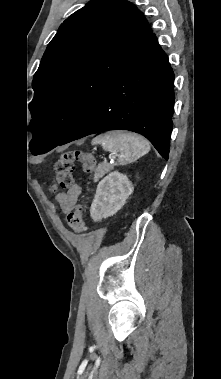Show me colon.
Here are the masks:
<instances>
[{
  "label": "colon",
  "instance_id": "5ec220e1",
  "mask_svg": "<svg viewBox=\"0 0 221 379\" xmlns=\"http://www.w3.org/2000/svg\"><path fill=\"white\" fill-rule=\"evenodd\" d=\"M76 162L81 163L83 171L92 174L96 167L94 157L80 150H71L63 153L55 164V180L52 190L57 188H70L73 186V172ZM67 222L70 228L76 233H82L86 230L84 221V209L78 206L74 211L67 215Z\"/></svg>",
  "mask_w": 221,
  "mask_h": 379
}]
</instances>
